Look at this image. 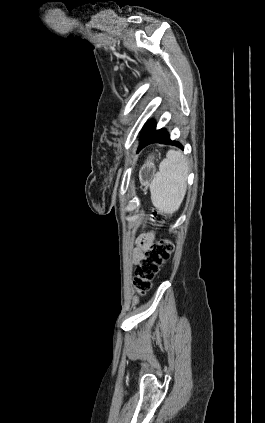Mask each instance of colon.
<instances>
[{"label":"colon","instance_id":"obj_1","mask_svg":"<svg viewBox=\"0 0 265 423\" xmlns=\"http://www.w3.org/2000/svg\"><path fill=\"white\" fill-rule=\"evenodd\" d=\"M151 221L160 225L164 216L156 211L150 217ZM174 251L173 243L168 239H161L152 243L136 265L133 286L137 293L146 294L152 286V281L160 266L170 259Z\"/></svg>","mask_w":265,"mask_h":423}]
</instances>
